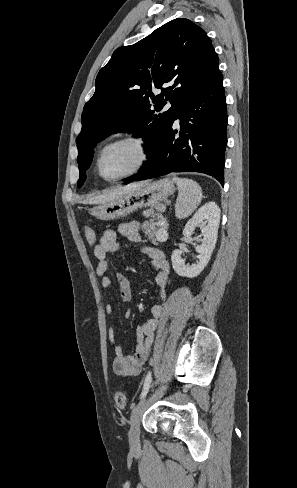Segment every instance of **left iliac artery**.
<instances>
[{
    "mask_svg": "<svg viewBox=\"0 0 297 488\" xmlns=\"http://www.w3.org/2000/svg\"><path fill=\"white\" fill-rule=\"evenodd\" d=\"M151 381H152L151 372H149L145 378L140 399H143L146 396V394L148 393Z\"/></svg>",
    "mask_w": 297,
    "mask_h": 488,
    "instance_id": "44dca946",
    "label": "left iliac artery"
}]
</instances>
